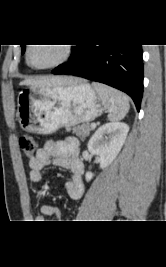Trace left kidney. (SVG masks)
<instances>
[{"mask_svg":"<svg viewBox=\"0 0 166 267\" xmlns=\"http://www.w3.org/2000/svg\"><path fill=\"white\" fill-rule=\"evenodd\" d=\"M129 126L123 122L107 123L98 128L88 142V150L100 160V168H106L116 158L125 143ZM92 172H87V181L93 178Z\"/></svg>","mask_w":166,"mask_h":267,"instance_id":"1","label":"left kidney"}]
</instances>
